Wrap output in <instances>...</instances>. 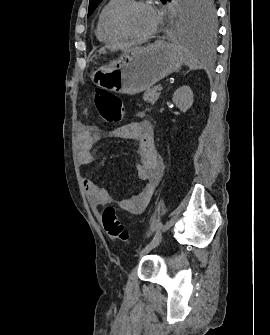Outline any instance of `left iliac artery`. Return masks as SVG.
Wrapping results in <instances>:
<instances>
[{
  "mask_svg": "<svg viewBox=\"0 0 270 335\" xmlns=\"http://www.w3.org/2000/svg\"><path fill=\"white\" fill-rule=\"evenodd\" d=\"M162 234L160 231V226L158 227V230L155 233L154 238L151 240V242L147 246H154L156 247L161 242Z\"/></svg>",
  "mask_w": 270,
  "mask_h": 335,
  "instance_id": "obj_1",
  "label": "left iliac artery"
}]
</instances>
